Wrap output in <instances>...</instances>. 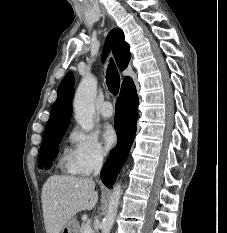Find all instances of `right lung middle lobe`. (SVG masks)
Segmentation results:
<instances>
[{
    "label": "right lung middle lobe",
    "instance_id": "obj_1",
    "mask_svg": "<svg viewBox=\"0 0 227 233\" xmlns=\"http://www.w3.org/2000/svg\"><path fill=\"white\" fill-rule=\"evenodd\" d=\"M65 131L51 138H44L39 154V168L51 167L52 161L58 153V144L60 143Z\"/></svg>",
    "mask_w": 227,
    "mask_h": 233
}]
</instances>
